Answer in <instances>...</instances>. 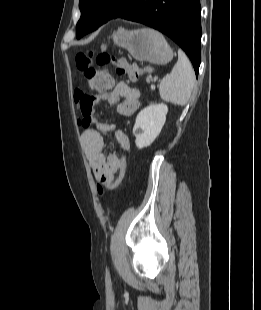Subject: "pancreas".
I'll return each instance as SVG.
<instances>
[{"label":"pancreas","instance_id":"obj_1","mask_svg":"<svg viewBox=\"0 0 261 310\" xmlns=\"http://www.w3.org/2000/svg\"><path fill=\"white\" fill-rule=\"evenodd\" d=\"M147 82H150V80H151V77L149 76V77H147Z\"/></svg>","mask_w":261,"mask_h":310}]
</instances>
